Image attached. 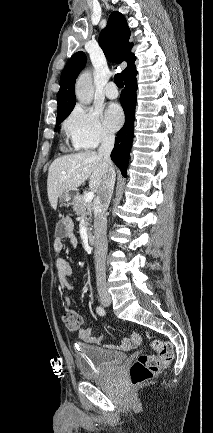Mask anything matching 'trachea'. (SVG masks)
Here are the masks:
<instances>
[{"label": "trachea", "mask_w": 213, "mask_h": 433, "mask_svg": "<svg viewBox=\"0 0 213 433\" xmlns=\"http://www.w3.org/2000/svg\"><path fill=\"white\" fill-rule=\"evenodd\" d=\"M114 81H115V84H116L119 88H122V87L124 86V84H123V78H122V74H121V73H117V74L114 76Z\"/></svg>", "instance_id": "1"}]
</instances>
